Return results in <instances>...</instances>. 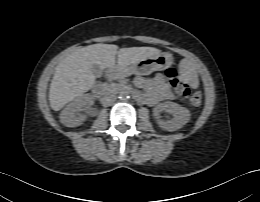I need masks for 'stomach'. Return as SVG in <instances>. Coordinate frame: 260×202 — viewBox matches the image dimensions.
<instances>
[{"instance_id":"obj_1","label":"stomach","mask_w":260,"mask_h":202,"mask_svg":"<svg viewBox=\"0 0 260 202\" xmlns=\"http://www.w3.org/2000/svg\"><path fill=\"white\" fill-rule=\"evenodd\" d=\"M173 62V57L169 53H160L155 56L147 57L131 66H116L117 75L119 77H126L134 73L148 74L155 70H164L168 68Z\"/></svg>"}]
</instances>
